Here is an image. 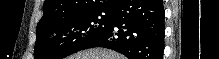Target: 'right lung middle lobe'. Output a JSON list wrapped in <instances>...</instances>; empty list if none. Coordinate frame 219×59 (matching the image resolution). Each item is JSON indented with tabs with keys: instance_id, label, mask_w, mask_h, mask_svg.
I'll list each match as a JSON object with an SVG mask.
<instances>
[{
	"instance_id": "dd1d6c3e",
	"label": "right lung middle lobe",
	"mask_w": 219,
	"mask_h": 59,
	"mask_svg": "<svg viewBox=\"0 0 219 59\" xmlns=\"http://www.w3.org/2000/svg\"><path fill=\"white\" fill-rule=\"evenodd\" d=\"M111 11L54 20L37 26L35 59H63L83 49L110 23Z\"/></svg>"
}]
</instances>
